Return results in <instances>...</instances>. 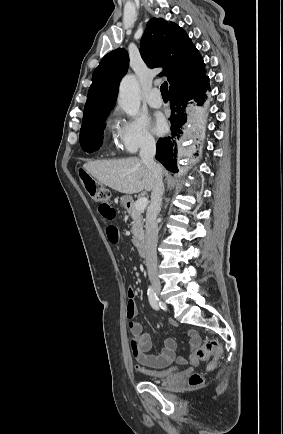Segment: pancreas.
Wrapping results in <instances>:
<instances>
[{"label": "pancreas", "instance_id": "1", "mask_svg": "<svg viewBox=\"0 0 283 434\" xmlns=\"http://www.w3.org/2000/svg\"><path fill=\"white\" fill-rule=\"evenodd\" d=\"M128 214L132 218V234L133 239L132 242L135 246L139 245V243L144 239V218L143 211L137 210L135 205L131 206L127 209Z\"/></svg>", "mask_w": 283, "mask_h": 434}]
</instances>
